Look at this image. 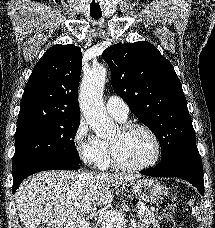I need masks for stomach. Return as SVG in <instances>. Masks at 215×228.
Wrapping results in <instances>:
<instances>
[{
	"label": "stomach",
	"instance_id": "stomach-1",
	"mask_svg": "<svg viewBox=\"0 0 215 228\" xmlns=\"http://www.w3.org/2000/svg\"><path fill=\"white\" fill-rule=\"evenodd\" d=\"M128 186H130L136 198L143 200V202H150V204L160 200L164 194V186H161L158 180H150V178L138 180V182H130Z\"/></svg>",
	"mask_w": 215,
	"mask_h": 228
}]
</instances>
